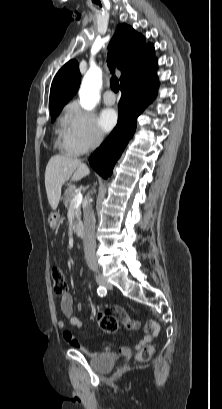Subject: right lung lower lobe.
<instances>
[{"mask_svg":"<svg viewBox=\"0 0 222 409\" xmlns=\"http://www.w3.org/2000/svg\"><path fill=\"white\" fill-rule=\"evenodd\" d=\"M158 78L156 70L138 76L121 85L118 123L109 137L90 156L91 167L103 178L111 175L128 141L136 130V119L156 95Z\"/></svg>","mask_w":222,"mask_h":409,"instance_id":"obj_1","label":"right lung lower lobe"}]
</instances>
